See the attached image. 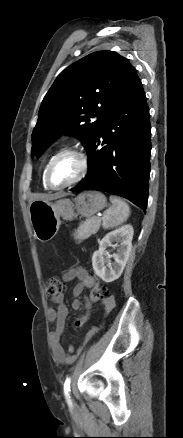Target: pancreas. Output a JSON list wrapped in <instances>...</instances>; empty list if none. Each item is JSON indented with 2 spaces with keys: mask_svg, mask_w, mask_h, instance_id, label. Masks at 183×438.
Listing matches in <instances>:
<instances>
[{
  "mask_svg": "<svg viewBox=\"0 0 183 438\" xmlns=\"http://www.w3.org/2000/svg\"><path fill=\"white\" fill-rule=\"evenodd\" d=\"M100 225V218H87L85 221L80 223L78 230L74 233V238L80 243L89 238L91 235L96 234L100 228Z\"/></svg>",
  "mask_w": 183,
  "mask_h": 438,
  "instance_id": "cf45deb5",
  "label": "pancreas"
}]
</instances>
